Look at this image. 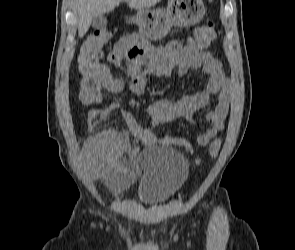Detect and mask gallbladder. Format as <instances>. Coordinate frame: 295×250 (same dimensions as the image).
Here are the masks:
<instances>
[{"label":"gallbladder","mask_w":295,"mask_h":250,"mask_svg":"<svg viewBox=\"0 0 295 250\" xmlns=\"http://www.w3.org/2000/svg\"><path fill=\"white\" fill-rule=\"evenodd\" d=\"M107 25V19L104 15L96 16L92 19L91 26L94 29H104Z\"/></svg>","instance_id":"obj_1"}]
</instances>
